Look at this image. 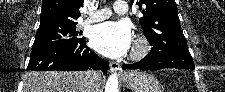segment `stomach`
<instances>
[{
    "label": "stomach",
    "mask_w": 225,
    "mask_h": 92,
    "mask_svg": "<svg viewBox=\"0 0 225 92\" xmlns=\"http://www.w3.org/2000/svg\"><path fill=\"white\" fill-rule=\"evenodd\" d=\"M122 83L132 92H161L159 81L148 73L137 71L126 73Z\"/></svg>",
    "instance_id": "0dacf381"
}]
</instances>
